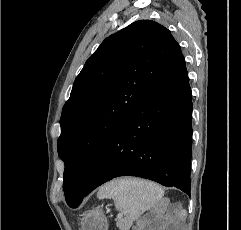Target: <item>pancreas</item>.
I'll list each match as a JSON object with an SVG mask.
<instances>
[{"mask_svg":"<svg viewBox=\"0 0 241 230\" xmlns=\"http://www.w3.org/2000/svg\"><path fill=\"white\" fill-rule=\"evenodd\" d=\"M130 222L127 219H120L117 222V226L119 227V230H129Z\"/></svg>","mask_w":241,"mask_h":230,"instance_id":"obj_1","label":"pancreas"}]
</instances>
